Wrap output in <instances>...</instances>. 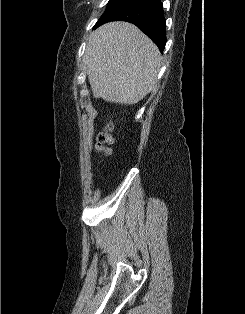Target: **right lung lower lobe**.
I'll list each match as a JSON object with an SVG mask.
<instances>
[{"instance_id":"right-lung-lower-lobe-1","label":"right lung lower lobe","mask_w":245,"mask_h":314,"mask_svg":"<svg viewBox=\"0 0 245 314\" xmlns=\"http://www.w3.org/2000/svg\"><path fill=\"white\" fill-rule=\"evenodd\" d=\"M111 21H126L135 24L156 43L160 51L164 50L165 18L160 0H128L94 28Z\"/></svg>"}]
</instances>
